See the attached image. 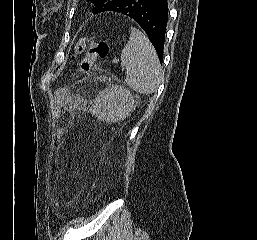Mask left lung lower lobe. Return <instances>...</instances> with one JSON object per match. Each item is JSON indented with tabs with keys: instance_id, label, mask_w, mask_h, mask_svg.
<instances>
[{
	"instance_id": "left-lung-lower-lobe-1",
	"label": "left lung lower lobe",
	"mask_w": 257,
	"mask_h": 240,
	"mask_svg": "<svg viewBox=\"0 0 257 240\" xmlns=\"http://www.w3.org/2000/svg\"><path fill=\"white\" fill-rule=\"evenodd\" d=\"M108 11L134 20L148 35L162 63L168 22L167 0H122Z\"/></svg>"
}]
</instances>
